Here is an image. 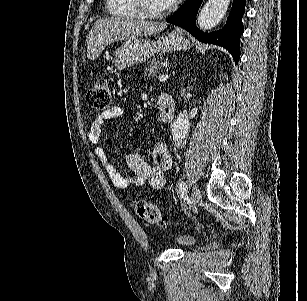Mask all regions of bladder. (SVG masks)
<instances>
[{
  "instance_id": "obj_1",
  "label": "bladder",
  "mask_w": 307,
  "mask_h": 301,
  "mask_svg": "<svg viewBox=\"0 0 307 301\" xmlns=\"http://www.w3.org/2000/svg\"><path fill=\"white\" fill-rule=\"evenodd\" d=\"M196 238L192 236L175 237L172 243L180 244L185 248L193 246L196 244Z\"/></svg>"
}]
</instances>
